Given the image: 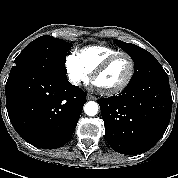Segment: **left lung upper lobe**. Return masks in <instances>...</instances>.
<instances>
[{"mask_svg":"<svg viewBox=\"0 0 178 178\" xmlns=\"http://www.w3.org/2000/svg\"><path fill=\"white\" fill-rule=\"evenodd\" d=\"M115 42L121 49L129 54L134 61V74L129 84H133L147 78L167 75L161 64L150 52L134 44L120 40H115Z\"/></svg>","mask_w":178,"mask_h":178,"instance_id":"1","label":"left lung upper lobe"}]
</instances>
